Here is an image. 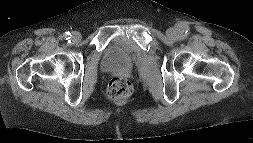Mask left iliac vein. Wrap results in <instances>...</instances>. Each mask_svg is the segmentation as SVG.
<instances>
[{
  "label": "left iliac vein",
  "mask_w": 253,
  "mask_h": 143,
  "mask_svg": "<svg viewBox=\"0 0 253 143\" xmlns=\"http://www.w3.org/2000/svg\"><path fill=\"white\" fill-rule=\"evenodd\" d=\"M166 36L170 39V40H176L178 37L177 31L173 28H169L166 31Z\"/></svg>",
  "instance_id": "4c4485c4"
}]
</instances>
